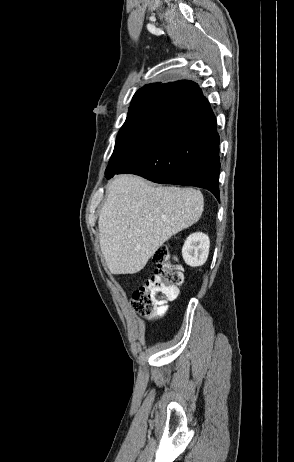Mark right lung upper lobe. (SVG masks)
Listing matches in <instances>:
<instances>
[{
    "mask_svg": "<svg viewBox=\"0 0 294 462\" xmlns=\"http://www.w3.org/2000/svg\"><path fill=\"white\" fill-rule=\"evenodd\" d=\"M191 92L195 95L202 94L196 83L187 80H180L167 84H147L135 93L130 103V107L169 95H176L186 99Z\"/></svg>",
    "mask_w": 294,
    "mask_h": 462,
    "instance_id": "obj_1",
    "label": "right lung upper lobe"
}]
</instances>
